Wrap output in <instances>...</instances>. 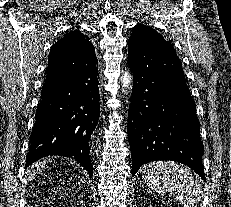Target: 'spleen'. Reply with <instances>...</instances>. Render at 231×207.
<instances>
[{
	"instance_id": "3e777b00",
	"label": "spleen",
	"mask_w": 231,
	"mask_h": 207,
	"mask_svg": "<svg viewBox=\"0 0 231 207\" xmlns=\"http://www.w3.org/2000/svg\"><path fill=\"white\" fill-rule=\"evenodd\" d=\"M142 179L152 189L169 194L183 207H196L201 188L187 168L174 162H152L141 168Z\"/></svg>"
}]
</instances>
